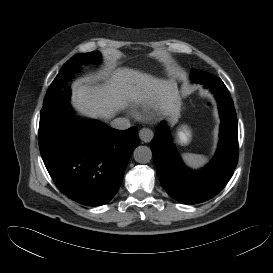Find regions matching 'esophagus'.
<instances>
[{
    "label": "esophagus",
    "mask_w": 273,
    "mask_h": 273,
    "mask_svg": "<svg viewBox=\"0 0 273 273\" xmlns=\"http://www.w3.org/2000/svg\"><path fill=\"white\" fill-rule=\"evenodd\" d=\"M153 132L148 128H143L139 131V138L145 143H149L153 138Z\"/></svg>",
    "instance_id": "esophagus-1"
}]
</instances>
